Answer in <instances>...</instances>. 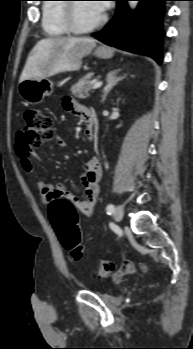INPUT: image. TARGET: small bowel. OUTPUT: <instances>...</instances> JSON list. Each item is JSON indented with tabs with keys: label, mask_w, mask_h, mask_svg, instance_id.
<instances>
[{
	"label": "small bowel",
	"mask_w": 193,
	"mask_h": 349,
	"mask_svg": "<svg viewBox=\"0 0 193 349\" xmlns=\"http://www.w3.org/2000/svg\"><path fill=\"white\" fill-rule=\"evenodd\" d=\"M63 107L66 111L72 113H78L83 116L86 108L77 104L72 98L65 97L63 100ZM85 134L89 140L92 139L91 131L86 129ZM57 144L63 148L67 146L66 141L57 136L55 138ZM16 153L20 159L21 166L24 171L27 173H34V165L30 157V151L24 139V135L22 132H18L16 136ZM102 174V167L99 158L92 157L89 161L84 165L83 172L81 174V181L84 186L85 198L83 200H79L76 196H74L63 184H57L56 186H52L46 184L42 181L38 182L40 187L42 198L44 203L50 204L54 200L58 199H66L75 204L77 209L85 216L92 217L94 213L95 204L99 194V181ZM134 272V264L129 259H124L123 263L114 276L115 280H119L120 278L132 274Z\"/></svg>",
	"instance_id": "c3829d8e"
}]
</instances>
